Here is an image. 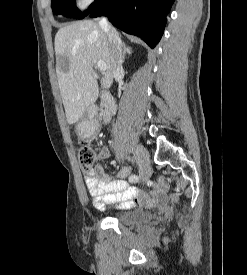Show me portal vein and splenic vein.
<instances>
[{"label": "portal vein and splenic vein", "mask_w": 247, "mask_h": 275, "mask_svg": "<svg viewBox=\"0 0 247 275\" xmlns=\"http://www.w3.org/2000/svg\"><path fill=\"white\" fill-rule=\"evenodd\" d=\"M96 67L101 72H104L107 69V66L103 61L98 62Z\"/></svg>", "instance_id": "obj_1"}]
</instances>
